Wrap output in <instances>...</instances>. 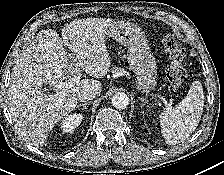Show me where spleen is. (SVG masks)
Here are the masks:
<instances>
[{"label":"spleen","instance_id":"obj_1","mask_svg":"<svg viewBox=\"0 0 224 175\" xmlns=\"http://www.w3.org/2000/svg\"><path fill=\"white\" fill-rule=\"evenodd\" d=\"M204 106L202 84L194 81L187 96L173 109L160 114L162 134L167 144L175 145L188 138L198 126Z\"/></svg>","mask_w":224,"mask_h":175}]
</instances>
